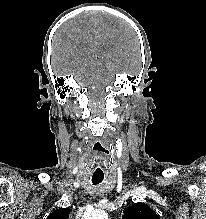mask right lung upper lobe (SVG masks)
Masks as SVG:
<instances>
[{
	"mask_svg": "<svg viewBox=\"0 0 206 219\" xmlns=\"http://www.w3.org/2000/svg\"><path fill=\"white\" fill-rule=\"evenodd\" d=\"M69 209L68 208H59L53 211L47 219H68Z\"/></svg>",
	"mask_w": 206,
	"mask_h": 219,
	"instance_id": "obj_1",
	"label": "right lung upper lobe"
}]
</instances>
